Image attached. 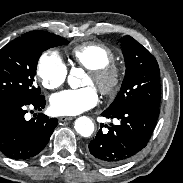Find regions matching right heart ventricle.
<instances>
[{
    "label": "right heart ventricle",
    "instance_id": "obj_1",
    "mask_svg": "<svg viewBox=\"0 0 183 183\" xmlns=\"http://www.w3.org/2000/svg\"><path fill=\"white\" fill-rule=\"evenodd\" d=\"M71 57L80 66L93 70L111 63L114 60V52L103 43L85 42L71 50Z\"/></svg>",
    "mask_w": 183,
    "mask_h": 183
}]
</instances>
